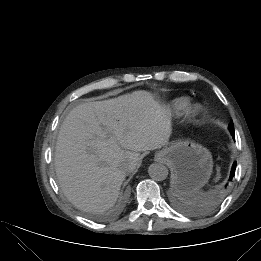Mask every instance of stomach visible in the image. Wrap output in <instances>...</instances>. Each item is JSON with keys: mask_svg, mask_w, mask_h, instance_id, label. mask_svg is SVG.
<instances>
[{"mask_svg": "<svg viewBox=\"0 0 261 261\" xmlns=\"http://www.w3.org/2000/svg\"><path fill=\"white\" fill-rule=\"evenodd\" d=\"M155 159L172 171V184L180 193L193 194L209 180L213 161L211 153L193 141H175L159 151Z\"/></svg>", "mask_w": 261, "mask_h": 261, "instance_id": "stomach-1", "label": "stomach"}]
</instances>
